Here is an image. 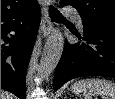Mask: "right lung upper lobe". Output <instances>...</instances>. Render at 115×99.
<instances>
[{"label":"right lung upper lobe","instance_id":"right-lung-upper-lobe-1","mask_svg":"<svg viewBox=\"0 0 115 99\" xmlns=\"http://www.w3.org/2000/svg\"><path fill=\"white\" fill-rule=\"evenodd\" d=\"M36 0H1V16L23 10Z\"/></svg>","mask_w":115,"mask_h":99}]
</instances>
